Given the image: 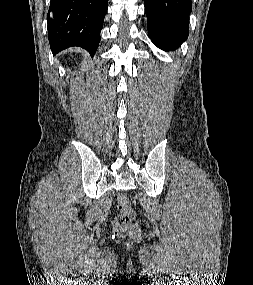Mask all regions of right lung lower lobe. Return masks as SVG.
<instances>
[{
  "mask_svg": "<svg viewBox=\"0 0 253 285\" xmlns=\"http://www.w3.org/2000/svg\"><path fill=\"white\" fill-rule=\"evenodd\" d=\"M107 8L108 0H51L47 21L53 54L79 46L93 56Z\"/></svg>",
  "mask_w": 253,
  "mask_h": 285,
  "instance_id": "1",
  "label": "right lung lower lobe"
}]
</instances>
